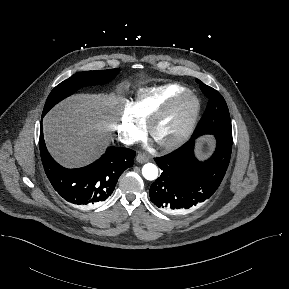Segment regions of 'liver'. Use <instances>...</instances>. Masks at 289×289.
<instances>
[{
    "label": "liver",
    "mask_w": 289,
    "mask_h": 289,
    "mask_svg": "<svg viewBox=\"0 0 289 289\" xmlns=\"http://www.w3.org/2000/svg\"><path fill=\"white\" fill-rule=\"evenodd\" d=\"M118 103L114 92L76 94L54 107L43 120L46 146L53 158L67 168L95 160L112 140Z\"/></svg>",
    "instance_id": "1"
}]
</instances>
